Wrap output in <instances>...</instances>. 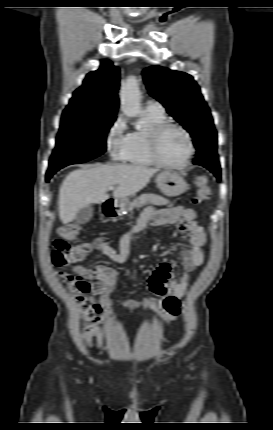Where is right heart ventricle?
<instances>
[{"label":"right heart ventricle","instance_id":"1","mask_svg":"<svg viewBox=\"0 0 273 430\" xmlns=\"http://www.w3.org/2000/svg\"><path fill=\"white\" fill-rule=\"evenodd\" d=\"M144 119L148 123V128L144 130H135L131 133V148L126 161L137 167H151L154 162L151 159L149 152L148 135L150 130L165 121L164 114H156L150 111H145Z\"/></svg>","mask_w":273,"mask_h":430}]
</instances>
